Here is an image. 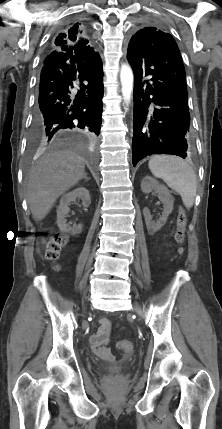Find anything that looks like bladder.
Returning <instances> with one entry per match:
<instances>
[{
    "label": "bladder",
    "instance_id": "31cf9c89",
    "mask_svg": "<svg viewBox=\"0 0 222 429\" xmlns=\"http://www.w3.org/2000/svg\"><path fill=\"white\" fill-rule=\"evenodd\" d=\"M104 369L107 371H111V372H119V371H121L122 367H120V366H108V367H104Z\"/></svg>",
    "mask_w": 222,
    "mask_h": 429
}]
</instances>
